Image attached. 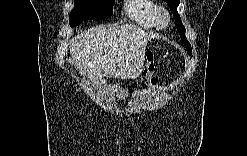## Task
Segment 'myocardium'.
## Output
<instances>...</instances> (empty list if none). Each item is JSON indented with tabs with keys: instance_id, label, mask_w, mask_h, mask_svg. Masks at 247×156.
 Segmentation results:
<instances>
[{
	"instance_id": "obj_1",
	"label": "myocardium",
	"mask_w": 247,
	"mask_h": 156,
	"mask_svg": "<svg viewBox=\"0 0 247 156\" xmlns=\"http://www.w3.org/2000/svg\"><path fill=\"white\" fill-rule=\"evenodd\" d=\"M156 22L159 27H166L170 23V15L165 8H159L156 14Z\"/></svg>"
}]
</instances>
